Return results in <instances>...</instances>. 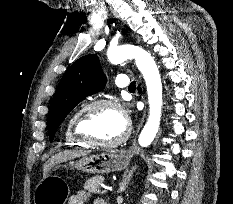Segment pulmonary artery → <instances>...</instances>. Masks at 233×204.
Here are the masks:
<instances>
[{"mask_svg":"<svg viewBox=\"0 0 233 204\" xmlns=\"http://www.w3.org/2000/svg\"><path fill=\"white\" fill-rule=\"evenodd\" d=\"M116 85L120 88H125L128 87L130 84V80L127 75L125 74H120L116 77L115 81Z\"/></svg>","mask_w":233,"mask_h":204,"instance_id":"e3ab8cb5","label":"pulmonary artery"}]
</instances>
